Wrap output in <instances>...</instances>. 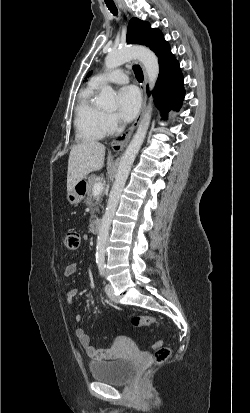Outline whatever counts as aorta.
Listing matches in <instances>:
<instances>
[{
    "label": "aorta",
    "mask_w": 250,
    "mask_h": 413,
    "mask_svg": "<svg viewBox=\"0 0 250 413\" xmlns=\"http://www.w3.org/2000/svg\"><path fill=\"white\" fill-rule=\"evenodd\" d=\"M131 59L139 60L146 70L150 89H153L159 74V64L156 55L145 47H127L116 51H111L105 58V67L108 70L114 69ZM115 92L111 86H104L98 98V104L102 108L111 109L115 106ZM151 107H147L137 128V131L121 157L115 182L111 189L106 211L103 215L96 246V263L103 265L105 261V248L109 235V229L114 217L121 193L128 178L131 166L135 157L144 142L151 120Z\"/></svg>",
    "instance_id": "1"
}]
</instances>
